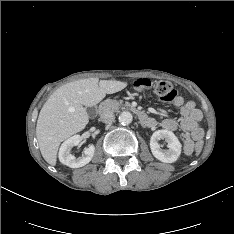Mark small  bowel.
Masks as SVG:
<instances>
[{"label":"small bowel","instance_id":"obj_1","mask_svg":"<svg viewBox=\"0 0 234 234\" xmlns=\"http://www.w3.org/2000/svg\"><path fill=\"white\" fill-rule=\"evenodd\" d=\"M171 102L180 107L181 119L175 118H166L161 121L160 126L166 131H175L178 128H181L185 133L184 146L186 151H190L191 140H198L202 137L203 131L199 126V122L202 119L201 111L195 106L192 101H184V98L176 95ZM156 121L153 118H150V122L145 125L147 127H155Z\"/></svg>","mask_w":234,"mask_h":234}]
</instances>
